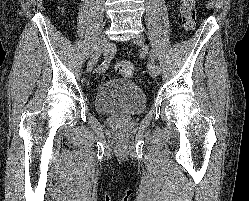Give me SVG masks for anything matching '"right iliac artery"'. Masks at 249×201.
Here are the masks:
<instances>
[{
	"instance_id": "1",
	"label": "right iliac artery",
	"mask_w": 249,
	"mask_h": 201,
	"mask_svg": "<svg viewBox=\"0 0 249 201\" xmlns=\"http://www.w3.org/2000/svg\"><path fill=\"white\" fill-rule=\"evenodd\" d=\"M104 56H105L104 61L101 63V65L97 69L98 73L104 72L109 66V63H110L109 52H105Z\"/></svg>"
}]
</instances>
